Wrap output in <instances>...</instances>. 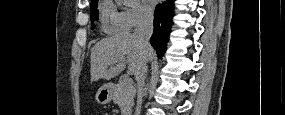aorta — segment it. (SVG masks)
Listing matches in <instances>:
<instances>
[{"instance_id": "obj_1", "label": "aorta", "mask_w": 285, "mask_h": 115, "mask_svg": "<svg viewBox=\"0 0 285 115\" xmlns=\"http://www.w3.org/2000/svg\"><path fill=\"white\" fill-rule=\"evenodd\" d=\"M124 2H125L126 4L131 5V4L136 3V2H137V0H124Z\"/></svg>"}]
</instances>
